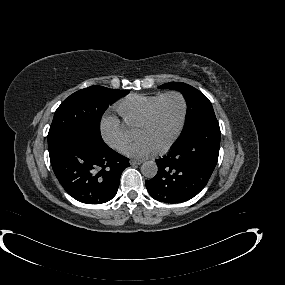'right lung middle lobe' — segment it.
Segmentation results:
<instances>
[{
  "instance_id": "right-lung-middle-lobe-1",
  "label": "right lung middle lobe",
  "mask_w": 285,
  "mask_h": 285,
  "mask_svg": "<svg viewBox=\"0 0 285 285\" xmlns=\"http://www.w3.org/2000/svg\"><path fill=\"white\" fill-rule=\"evenodd\" d=\"M128 90L91 86L81 89L57 108L48 133V148L60 139L79 135L94 142H102L100 120L110 103L126 95Z\"/></svg>"
}]
</instances>
